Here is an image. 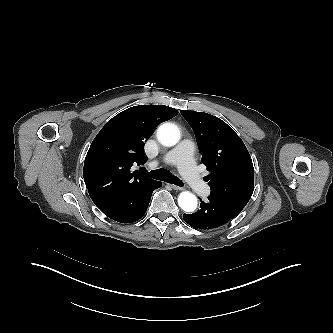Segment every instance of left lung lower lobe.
I'll list each match as a JSON object with an SVG mask.
<instances>
[{
  "mask_svg": "<svg viewBox=\"0 0 333 333\" xmlns=\"http://www.w3.org/2000/svg\"><path fill=\"white\" fill-rule=\"evenodd\" d=\"M200 201V209L196 213L183 215L184 221L191 227L199 229L217 228L239 214V212L211 195L208 196L207 202H203L201 199Z\"/></svg>",
  "mask_w": 333,
  "mask_h": 333,
  "instance_id": "left-lung-lower-lobe-1",
  "label": "left lung lower lobe"
}]
</instances>
